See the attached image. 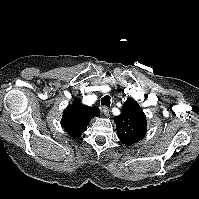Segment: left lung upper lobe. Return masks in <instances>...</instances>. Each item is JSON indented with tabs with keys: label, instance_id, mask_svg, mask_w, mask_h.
<instances>
[{
	"label": "left lung upper lobe",
	"instance_id": "5c2ea615",
	"mask_svg": "<svg viewBox=\"0 0 199 199\" xmlns=\"http://www.w3.org/2000/svg\"><path fill=\"white\" fill-rule=\"evenodd\" d=\"M119 139L126 145L140 141L146 134L147 121L139 104L132 98L124 103L121 114L115 117Z\"/></svg>",
	"mask_w": 199,
	"mask_h": 199
}]
</instances>
